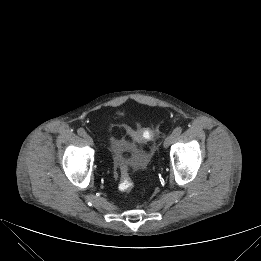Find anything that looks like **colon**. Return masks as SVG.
<instances>
[{"instance_id":"colon-1","label":"colon","mask_w":261,"mask_h":261,"mask_svg":"<svg viewBox=\"0 0 261 261\" xmlns=\"http://www.w3.org/2000/svg\"><path fill=\"white\" fill-rule=\"evenodd\" d=\"M155 134V129L145 127L138 130L130 127L126 128V135L136 141L142 142L151 139ZM114 174L118 181V189L123 193H130L134 187L129 166L122 155H118L114 163Z\"/></svg>"}]
</instances>
